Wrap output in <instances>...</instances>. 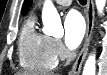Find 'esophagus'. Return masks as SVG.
Returning <instances> with one entry per match:
<instances>
[{"label": "esophagus", "mask_w": 107, "mask_h": 75, "mask_svg": "<svg viewBox=\"0 0 107 75\" xmlns=\"http://www.w3.org/2000/svg\"><path fill=\"white\" fill-rule=\"evenodd\" d=\"M86 19H87V28H86L83 47L79 52L78 57L69 72V75H79L82 64L88 52L90 41L92 39V33H93L94 21H95V8H94L93 0H87Z\"/></svg>", "instance_id": "34e87169"}]
</instances>
